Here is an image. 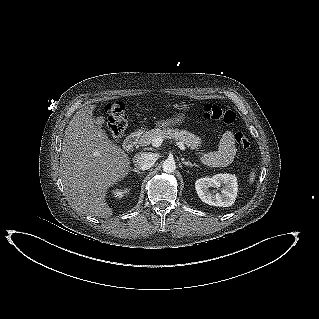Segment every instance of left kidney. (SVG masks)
<instances>
[{
  "mask_svg": "<svg viewBox=\"0 0 319 319\" xmlns=\"http://www.w3.org/2000/svg\"><path fill=\"white\" fill-rule=\"evenodd\" d=\"M222 186L221 193L211 192L209 188ZM195 189L199 198L212 206L229 207L235 202L238 183L235 175L216 174L213 177H203L195 182Z\"/></svg>",
  "mask_w": 319,
  "mask_h": 319,
  "instance_id": "5707ae66",
  "label": "left kidney"
}]
</instances>
